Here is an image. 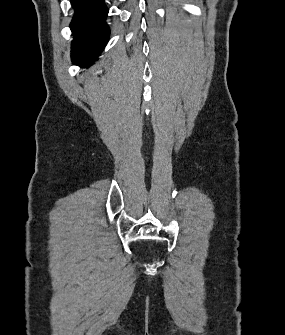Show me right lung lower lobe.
Masks as SVG:
<instances>
[{
  "label": "right lung lower lobe",
  "instance_id": "98d812e1",
  "mask_svg": "<svg viewBox=\"0 0 285 335\" xmlns=\"http://www.w3.org/2000/svg\"><path fill=\"white\" fill-rule=\"evenodd\" d=\"M75 10L70 28L74 34L72 60L89 65L105 47L110 29L105 20L108 14L104 0H70Z\"/></svg>",
  "mask_w": 285,
  "mask_h": 335
}]
</instances>
